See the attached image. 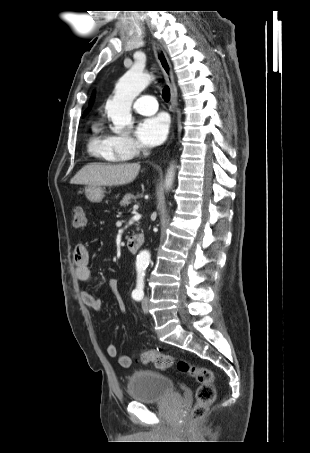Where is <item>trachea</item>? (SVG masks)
I'll use <instances>...</instances> for the list:
<instances>
[{
  "mask_svg": "<svg viewBox=\"0 0 310 453\" xmlns=\"http://www.w3.org/2000/svg\"><path fill=\"white\" fill-rule=\"evenodd\" d=\"M162 96L165 101H169L170 99V89L168 86H165L162 91Z\"/></svg>",
  "mask_w": 310,
  "mask_h": 453,
  "instance_id": "obj_1",
  "label": "trachea"
}]
</instances>
